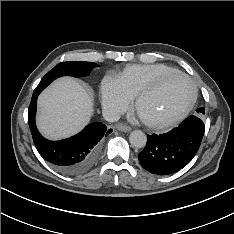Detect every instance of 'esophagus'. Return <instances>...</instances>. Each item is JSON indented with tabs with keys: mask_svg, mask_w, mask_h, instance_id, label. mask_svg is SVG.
I'll use <instances>...</instances> for the list:
<instances>
[{
	"mask_svg": "<svg viewBox=\"0 0 234 234\" xmlns=\"http://www.w3.org/2000/svg\"><path fill=\"white\" fill-rule=\"evenodd\" d=\"M116 128L121 132H129L131 131V127L125 125V124H117Z\"/></svg>",
	"mask_w": 234,
	"mask_h": 234,
	"instance_id": "34e87169",
	"label": "esophagus"
}]
</instances>
